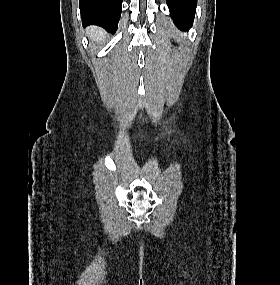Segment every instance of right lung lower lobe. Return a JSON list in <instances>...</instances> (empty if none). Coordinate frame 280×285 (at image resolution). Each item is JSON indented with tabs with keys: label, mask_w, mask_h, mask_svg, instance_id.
I'll return each instance as SVG.
<instances>
[{
	"label": "right lung lower lobe",
	"mask_w": 280,
	"mask_h": 285,
	"mask_svg": "<svg viewBox=\"0 0 280 285\" xmlns=\"http://www.w3.org/2000/svg\"><path fill=\"white\" fill-rule=\"evenodd\" d=\"M122 0H79L83 26L97 25L115 33L121 15Z\"/></svg>",
	"instance_id": "1"
}]
</instances>
